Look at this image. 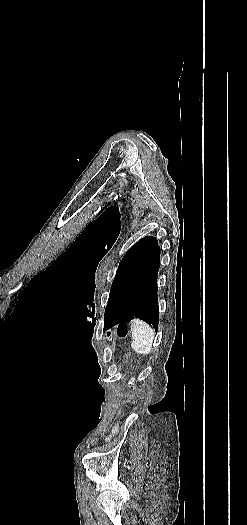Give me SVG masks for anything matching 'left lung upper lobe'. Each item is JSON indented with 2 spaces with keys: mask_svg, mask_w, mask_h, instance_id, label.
I'll return each instance as SVG.
<instances>
[{
  "mask_svg": "<svg viewBox=\"0 0 247 525\" xmlns=\"http://www.w3.org/2000/svg\"><path fill=\"white\" fill-rule=\"evenodd\" d=\"M160 251L154 237H145L133 245L119 263L105 314L124 292L140 277L151 265Z\"/></svg>",
  "mask_w": 247,
  "mask_h": 525,
  "instance_id": "1",
  "label": "left lung upper lobe"
}]
</instances>
